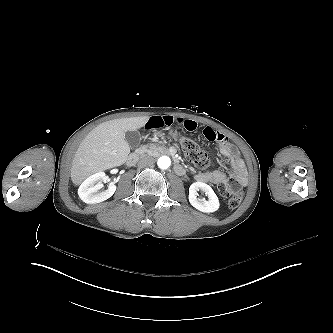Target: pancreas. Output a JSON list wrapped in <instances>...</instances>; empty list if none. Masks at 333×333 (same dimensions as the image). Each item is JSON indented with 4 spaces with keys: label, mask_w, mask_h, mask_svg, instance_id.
I'll list each match as a JSON object with an SVG mask.
<instances>
[{
    "label": "pancreas",
    "mask_w": 333,
    "mask_h": 333,
    "mask_svg": "<svg viewBox=\"0 0 333 333\" xmlns=\"http://www.w3.org/2000/svg\"><path fill=\"white\" fill-rule=\"evenodd\" d=\"M144 153L148 156L159 157L161 154H168L169 150L166 146L158 143H149L143 147Z\"/></svg>",
    "instance_id": "pancreas-1"
}]
</instances>
